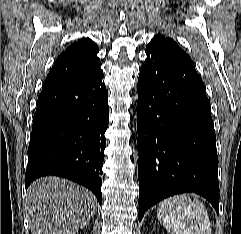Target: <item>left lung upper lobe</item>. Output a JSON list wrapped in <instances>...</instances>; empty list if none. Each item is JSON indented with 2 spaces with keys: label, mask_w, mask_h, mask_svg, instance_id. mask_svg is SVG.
I'll use <instances>...</instances> for the list:
<instances>
[{
  "label": "left lung upper lobe",
  "mask_w": 241,
  "mask_h": 234,
  "mask_svg": "<svg viewBox=\"0 0 241 234\" xmlns=\"http://www.w3.org/2000/svg\"><path fill=\"white\" fill-rule=\"evenodd\" d=\"M146 49L156 50L159 53L179 61L181 63L193 65L190 57L169 37L163 35L155 36L148 44Z\"/></svg>",
  "instance_id": "left-lung-upper-lobe-1"
}]
</instances>
